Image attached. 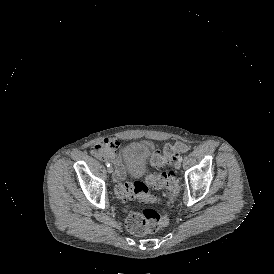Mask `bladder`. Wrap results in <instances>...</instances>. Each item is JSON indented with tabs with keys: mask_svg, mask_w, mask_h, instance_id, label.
Instances as JSON below:
<instances>
[{
	"mask_svg": "<svg viewBox=\"0 0 274 274\" xmlns=\"http://www.w3.org/2000/svg\"><path fill=\"white\" fill-rule=\"evenodd\" d=\"M149 148L141 142L130 143L125 147V161L132 176H142L147 170Z\"/></svg>",
	"mask_w": 274,
	"mask_h": 274,
	"instance_id": "31cf9c89",
	"label": "bladder"
}]
</instances>
